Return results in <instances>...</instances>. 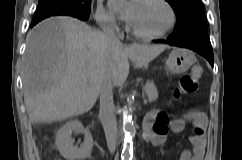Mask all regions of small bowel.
<instances>
[{
  "mask_svg": "<svg viewBox=\"0 0 242 160\" xmlns=\"http://www.w3.org/2000/svg\"><path fill=\"white\" fill-rule=\"evenodd\" d=\"M185 121H190L194 125L193 134L190 136V142L193 146L192 152L185 150L181 153L179 160H203L205 153V128L206 120L201 113L189 112L183 119L174 118L165 127L164 132H158L153 129V121L147 117L144 121L145 140L153 146L160 147L166 141L168 131L180 133L184 129Z\"/></svg>",
  "mask_w": 242,
  "mask_h": 160,
  "instance_id": "c3829d8e",
  "label": "small bowel"
}]
</instances>
